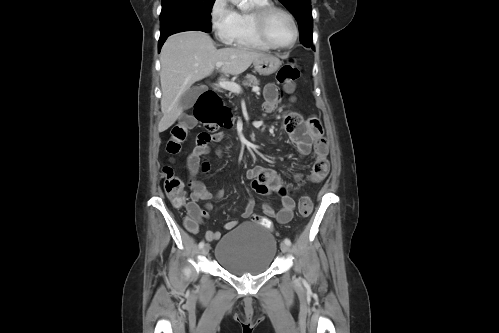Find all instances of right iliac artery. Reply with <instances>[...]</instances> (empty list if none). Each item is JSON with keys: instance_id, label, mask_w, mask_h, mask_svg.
I'll return each mask as SVG.
<instances>
[{"instance_id": "82829eb1", "label": "right iliac artery", "mask_w": 499, "mask_h": 333, "mask_svg": "<svg viewBox=\"0 0 499 333\" xmlns=\"http://www.w3.org/2000/svg\"><path fill=\"white\" fill-rule=\"evenodd\" d=\"M203 246H204V241H201V242L199 243V248L201 249V248H203Z\"/></svg>"}]
</instances>
